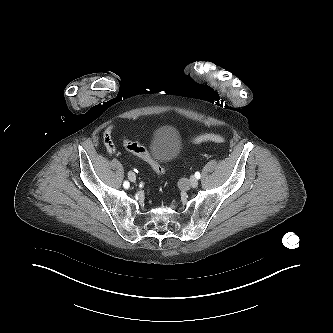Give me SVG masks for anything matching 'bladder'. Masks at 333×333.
<instances>
[{
  "mask_svg": "<svg viewBox=\"0 0 333 333\" xmlns=\"http://www.w3.org/2000/svg\"><path fill=\"white\" fill-rule=\"evenodd\" d=\"M182 148L179 132L171 126L157 128L150 140L149 153L154 161L161 165L173 162Z\"/></svg>",
  "mask_w": 333,
  "mask_h": 333,
  "instance_id": "bladder-1",
  "label": "bladder"
}]
</instances>
